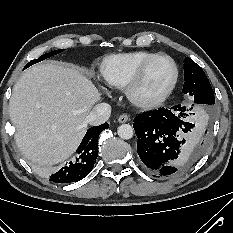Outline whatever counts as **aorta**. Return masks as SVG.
I'll list each match as a JSON object with an SVG mask.
<instances>
[{"mask_svg":"<svg viewBox=\"0 0 233 233\" xmlns=\"http://www.w3.org/2000/svg\"><path fill=\"white\" fill-rule=\"evenodd\" d=\"M117 133L121 139H130L133 137L134 129L129 124H122L118 127Z\"/></svg>","mask_w":233,"mask_h":233,"instance_id":"aorta-1","label":"aorta"}]
</instances>
